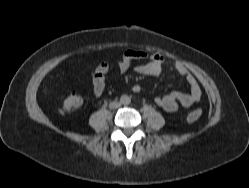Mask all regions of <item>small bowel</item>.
Returning a JSON list of instances; mask_svg holds the SVG:
<instances>
[{
  "label": "small bowel",
  "instance_id": "small-bowel-1",
  "mask_svg": "<svg viewBox=\"0 0 249 188\" xmlns=\"http://www.w3.org/2000/svg\"><path fill=\"white\" fill-rule=\"evenodd\" d=\"M145 61L135 66L138 74L145 76L162 77L166 70L174 71L184 77L189 85L188 93L171 92L164 96L155 98V103L167 112H175L180 106L190 107L201 98V88L196 77L188 71L181 63H167L163 56L158 53H149L141 50H127L121 56L118 62L120 72H126L132 62ZM112 66L108 62H101L90 74L92 84V94L95 98H99L106 88V77Z\"/></svg>",
  "mask_w": 249,
  "mask_h": 188
}]
</instances>
